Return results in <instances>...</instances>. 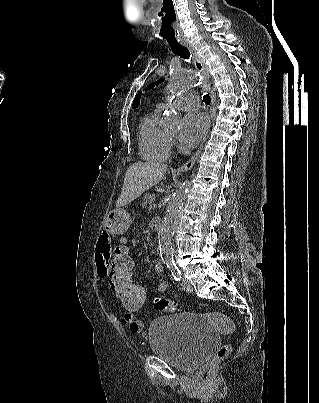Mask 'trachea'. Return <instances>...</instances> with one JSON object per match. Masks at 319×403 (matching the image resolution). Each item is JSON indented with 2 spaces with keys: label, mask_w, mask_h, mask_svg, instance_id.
<instances>
[{
  "label": "trachea",
  "mask_w": 319,
  "mask_h": 403,
  "mask_svg": "<svg viewBox=\"0 0 319 403\" xmlns=\"http://www.w3.org/2000/svg\"><path fill=\"white\" fill-rule=\"evenodd\" d=\"M162 33L166 41L168 42L169 46L172 49V52L176 55H179L180 57L184 59H189L190 57V52L189 50L185 47L182 46L177 40L175 36V31L172 26V21H163L162 27H161ZM203 101L206 103V105H209L211 103V98L208 94L203 96Z\"/></svg>",
  "instance_id": "trachea-1"
}]
</instances>
